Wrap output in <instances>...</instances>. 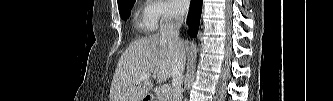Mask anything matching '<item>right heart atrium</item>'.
Returning <instances> with one entry per match:
<instances>
[{
	"mask_svg": "<svg viewBox=\"0 0 333 101\" xmlns=\"http://www.w3.org/2000/svg\"><path fill=\"white\" fill-rule=\"evenodd\" d=\"M148 10L155 28L179 18V11L167 0L151 1Z\"/></svg>",
	"mask_w": 333,
	"mask_h": 101,
	"instance_id": "1",
	"label": "right heart atrium"
}]
</instances>
